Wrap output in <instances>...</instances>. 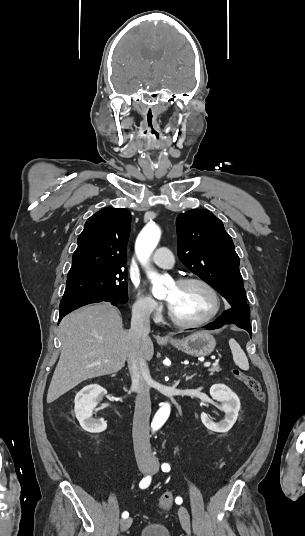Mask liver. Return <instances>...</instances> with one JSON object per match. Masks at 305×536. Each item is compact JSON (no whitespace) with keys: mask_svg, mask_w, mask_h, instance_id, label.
<instances>
[{"mask_svg":"<svg viewBox=\"0 0 305 536\" xmlns=\"http://www.w3.org/2000/svg\"><path fill=\"white\" fill-rule=\"evenodd\" d=\"M59 332L61 356L49 386L47 404L55 402L83 380L116 374L124 368L135 348L130 332L123 328L119 310L109 302L90 304L65 316ZM137 352L143 360H152L151 338H145Z\"/></svg>","mask_w":305,"mask_h":536,"instance_id":"obj_1","label":"liver"}]
</instances>
